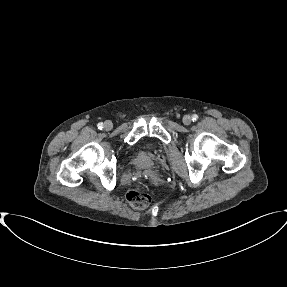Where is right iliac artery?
I'll list each match as a JSON object with an SVG mask.
<instances>
[{
  "label": "right iliac artery",
  "mask_w": 287,
  "mask_h": 287,
  "mask_svg": "<svg viewBox=\"0 0 287 287\" xmlns=\"http://www.w3.org/2000/svg\"><path fill=\"white\" fill-rule=\"evenodd\" d=\"M97 127L101 130L103 128V123H98Z\"/></svg>",
  "instance_id": "obj_1"
}]
</instances>
